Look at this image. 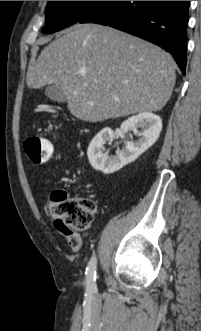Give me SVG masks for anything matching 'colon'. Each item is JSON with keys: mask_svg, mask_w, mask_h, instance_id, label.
<instances>
[{"mask_svg": "<svg viewBox=\"0 0 201 331\" xmlns=\"http://www.w3.org/2000/svg\"><path fill=\"white\" fill-rule=\"evenodd\" d=\"M24 149L29 159L37 165L48 162L53 152L50 141L38 134L30 135L25 140ZM95 208L92 199H70L64 190L54 191L49 200L53 218L76 231L86 230L90 226Z\"/></svg>", "mask_w": 201, "mask_h": 331, "instance_id": "colon-1", "label": "colon"}]
</instances>
